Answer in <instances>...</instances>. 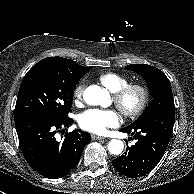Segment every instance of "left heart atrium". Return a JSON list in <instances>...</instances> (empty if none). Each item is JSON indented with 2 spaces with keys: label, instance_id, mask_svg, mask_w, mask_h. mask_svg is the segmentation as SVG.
I'll return each mask as SVG.
<instances>
[{
  "label": "left heart atrium",
  "instance_id": "1",
  "mask_svg": "<svg viewBox=\"0 0 194 194\" xmlns=\"http://www.w3.org/2000/svg\"><path fill=\"white\" fill-rule=\"evenodd\" d=\"M120 124V116L115 110L89 109L79 117V125L82 129L102 134L107 128Z\"/></svg>",
  "mask_w": 194,
  "mask_h": 194
}]
</instances>
